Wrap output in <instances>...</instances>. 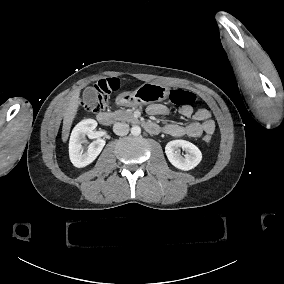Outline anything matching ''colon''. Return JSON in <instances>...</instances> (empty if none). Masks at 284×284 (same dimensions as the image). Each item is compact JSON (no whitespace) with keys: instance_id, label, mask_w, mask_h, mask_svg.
Listing matches in <instances>:
<instances>
[{"instance_id":"5ec220e1","label":"colon","mask_w":284,"mask_h":284,"mask_svg":"<svg viewBox=\"0 0 284 284\" xmlns=\"http://www.w3.org/2000/svg\"><path fill=\"white\" fill-rule=\"evenodd\" d=\"M103 83H105L104 88L90 93L88 103L92 110H103L106 107L107 96L120 88V83L117 78H108L104 80ZM168 101L174 107L189 109L194 106L196 97L190 90L177 87L169 94ZM210 139L209 135L204 136L205 141H210Z\"/></svg>"}]
</instances>
